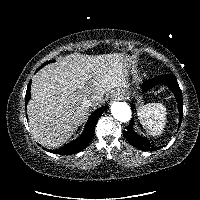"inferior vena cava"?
<instances>
[{
    "instance_id": "602c4592",
    "label": "inferior vena cava",
    "mask_w": 200,
    "mask_h": 200,
    "mask_svg": "<svg viewBox=\"0 0 200 200\" xmlns=\"http://www.w3.org/2000/svg\"><path fill=\"white\" fill-rule=\"evenodd\" d=\"M94 104V100L89 97H84L82 100V105L86 108L92 106Z\"/></svg>"
}]
</instances>
